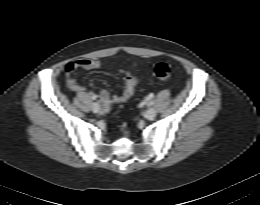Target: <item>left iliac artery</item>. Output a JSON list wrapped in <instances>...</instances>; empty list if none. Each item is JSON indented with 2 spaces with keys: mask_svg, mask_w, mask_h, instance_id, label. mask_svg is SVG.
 Masks as SVG:
<instances>
[{
  "mask_svg": "<svg viewBox=\"0 0 260 205\" xmlns=\"http://www.w3.org/2000/svg\"><path fill=\"white\" fill-rule=\"evenodd\" d=\"M153 104H154L153 101H150V102H149V106H152Z\"/></svg>",
  "mask_w": 260,
  "mask_h": 205,
  "instance_id": "obj_1",
  "label": "left iliac artery"
}]
</instances>
